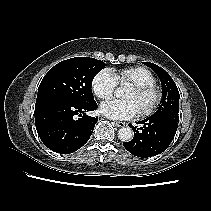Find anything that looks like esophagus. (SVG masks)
<instances>
[{"mask_svg":"<svg viewBox=\"0 0 211 211\" xmlns=\"http://www.w3.org/2000/svg\"><path fill=\"white\" fill-rule=\"evenodd\" d=\"M113 124H115L117 127H124L125 126V123L124 122H113Z\"/></svg>","mask_w":211,"mask_h":211,"instance_id":"34e87169","label":"esophagus"}]
</instances>
